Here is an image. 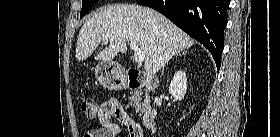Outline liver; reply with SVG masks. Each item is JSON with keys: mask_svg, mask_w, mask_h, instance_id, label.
Wrapping results in <instances>:
<instances>
[{"mask_svg": "<svg viewBox=\"0 0 280 137\" xmlns=\"http://www.w3.org/2000/svg\"><path fill=\"white\" fill-rule=\"evenodd\" d=\"M109 42L96 60L112 61L135 42L144 52V69L154 75L175 54L190 48L194 39L159 12L138 5H114L89 18L80 29L75 57L83 61L102 42Z\"/></svg>", "mask_w": 280, "mask_h": 137, "instance_id": "6515ba94", "label": "liver"}]
</instances>
